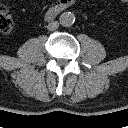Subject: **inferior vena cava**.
<instances>
[{"instance_id":"602c4592","label":"inferior vena cava","mask_w":128,"mask_h":128,"mask_svg":"<svg viewBox=\"0 0 128 128\" xmlns=\"http://www.w3.org/2000/svg\"><path fill=\"white\" fill-rule=\"evenodd\" d=\"M59 27V23L57 21H52L47 25V29L50 31H55Z\"/></svg>"}]
</instances>
